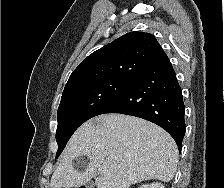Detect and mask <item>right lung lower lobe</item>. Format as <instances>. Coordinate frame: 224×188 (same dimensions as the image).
Segmentation results:
<instances>
[{"instance_id": "obj_1", "label": "right lung lower lobe", "mask_w": 224, "mask_h": 188, "mask_svg": "<svg viewBox=\"0 0 224 188\" xmlns=\"http://www.w3.org/2000/svg\"><path fill=\"white\" fill-rule=\"evenodd\" d=\"M120 113L151 121L165 129L179 151L185 135V106L175 71L166 59L137 77L100 114Z\"/></svg>"}]
</instances>
